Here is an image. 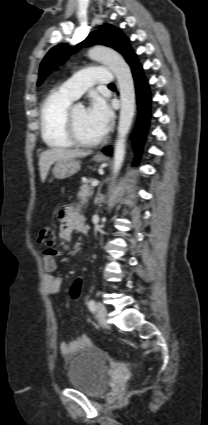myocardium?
Returning <instances> with one entry per match:
<instances>
[{"instance_id":"obj_1","label":"myocardium","mask_w":208,"mask_h":425,"mask_svg":"<svg viewBox=\"0 0 208 425\" xmlns=\"http://www.w3.org/2000/svg\"><path fill=\"white\" fill-rule=\"evenodd\" d=\"M76 108V105H71L65 115V124H66V131L67 135L70 139V141L73 143V145L83 148H91L98 146L103 141V138H99L94 141H85L80 138L78 135L75 120H74V110Z\"/></svg>"}]
</instances>
